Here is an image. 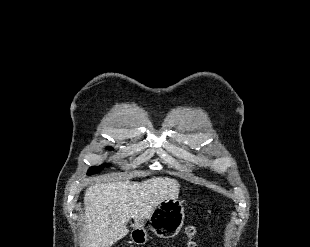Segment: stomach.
Instances as JSON below:
<instances>
[{"label": "stomach", "instance_id": "stomach-1", "mask_svg": "<svg viewBox=\"0 0 310 247\" xmlns=\"http://www.w3.org/2000/svg\"><path fill=\"white\" fill-rule=\"evenodd\" d=\"M184 218L183 203L177 198L166 199L158 204L152 212L149 218V228L160 238H172L180 232ZM130 238L134 244L144 245L148 241L147 230L143 225L134 227Z\"/></svg>", "mask_w": 310, "mask_h": 247}]
</instances>
